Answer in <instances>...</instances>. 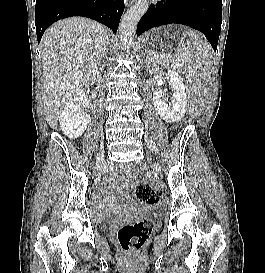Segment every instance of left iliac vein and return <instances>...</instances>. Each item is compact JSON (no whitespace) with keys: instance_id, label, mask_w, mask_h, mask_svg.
<instances>
[{"instance_id":"4c4485c4","label":"left iliac vein","mask_w":265,"mask_h":273,"mask_svg":"<svg viewBox=\"0 0 265 273\" xmlns=\"http://www.w3.org/2000/svg\"><path fill=\"white\" fill-rule=\"evenodd\" d=\"M146 142H147L148 146L150 147V149L157 150L156 145L152 140L147 139ZM153 169L156 172L161 173V170H160L159 166L156 163H153Z\"/></svg>"}]
</instances>
